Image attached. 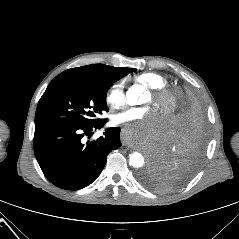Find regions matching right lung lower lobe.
<instances>
[{"label":"right lung lower lobe","mask_w":239,"mask_h":239,"mask_svg":"<svg viewBox=\"0 0 239 239\" xmlns=\"http://www.w3.org/2000/svg\"><path fill=\"white\" fill-rule=\"evenodd\" d=\"M106 119L92 125L37 124L34 152L46 178L59 188L78 190L90 185L103 170L107 155L121 146L120 128H108L97 140L82 138L101 129Z\"/></svg>","instance_id":"right-lung-lower-lobe-1"}]
</instances>
